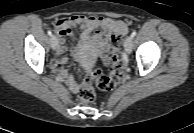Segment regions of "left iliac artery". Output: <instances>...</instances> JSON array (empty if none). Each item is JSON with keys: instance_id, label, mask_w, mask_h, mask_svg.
<instances>
[{"instance_id": "44dca946", "label": "left iliac artery", "mask_w": 194, "mask_h": 133, "mask_svg": "<svg viewBox=\"0 0 194 133\" xmlns=\"http://www.w3.org/2000/svg\"><path fill=\"white\" fill-rule=\"evenodd\" d=\"M136 34H137L136 30H134V31L131 33L130 37L133 39V38L136 36Z\"/></svg>"}]
</instances>
